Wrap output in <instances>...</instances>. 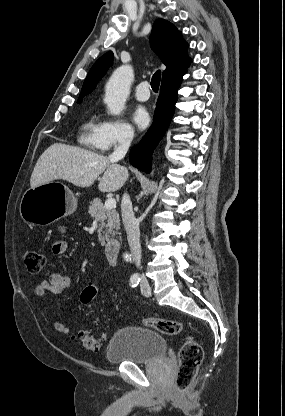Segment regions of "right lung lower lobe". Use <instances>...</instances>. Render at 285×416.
Here are the masks:
<instances>
[{
  "label": "right lung lower lobe",
  "instance_id": "1",
  "mask_svg": "<svg viewBox=\"0 0 285 416\" xmlns=\"http://www.w3.org/2000/svg\"><path fill=\"white\" fill-rule=\"evenodd\" d=\"M183 75L161 84L153 124L143 139L130 152L131 164L146 173H150L154 148L164 135L174 114L177 90Z\"/></svg>",
  "mask_w": 285,
  "mask_h": 416
}]
</instances>
